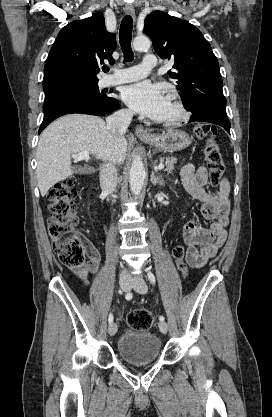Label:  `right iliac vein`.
I'll list each match as a JSON object with an SVG mask.
<instances>
[{
	"label": "right iliac vein",
	"instance_id": "obj_1",
	"mask_svg": "<svg viewBox=\"0 0 272 417\" xmlns=\"http://www.w3.org/2000/svg\"><path fill=\"white\" fill-rule=\"evenodd\" d=\"M120 287L123 291H129L132 285V280L128 277H122L120 279ZM117 332L116 323H111L108 327V333L110 336H114Z\"/></svg>",
	"mask_w": 272,
	"mask_h": 417
}]
</instances>
